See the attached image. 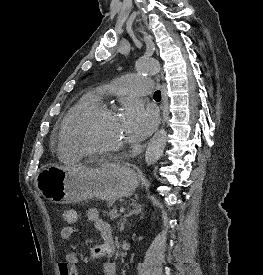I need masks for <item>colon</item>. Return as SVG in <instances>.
<instances>
[{
    "mask_svg": "<svg viewBox=\"0 0 263 275\" xmlns=\"http://www.w3.org/2000/svg\"><path fill=\"white\" fill-rule=\"evenodd\" d=\"M63 220L68 225H75L78 222V213L74 209H66L63 212Z\"/></svg>",
    "mask_w": 263,
    "mask_h": 275,
    "instance_id": "obj_1",
    "label": "colon"
}]
</instances>
